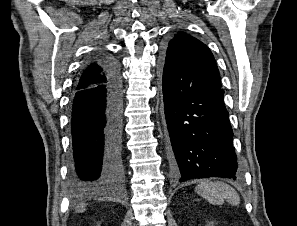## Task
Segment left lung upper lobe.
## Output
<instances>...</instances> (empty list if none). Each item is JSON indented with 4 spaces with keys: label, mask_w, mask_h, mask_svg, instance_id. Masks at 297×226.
<instances>
[{
    "label": "left lung upper lobe",
    "mask_w": 297,
    "mask_h": 226,
    "mask_svg": "<svg viewBox=\"0 0 297 226\" xmlns=\"http://www.w3.org/2000/svg\"><path fill=\"white\" fill-rule=\"evenodd\" d=\"M162 67L195 90L221 86L219 70L209 48L184 32L169 42Z\"/></svg>",
    "instance_id": "left-lung-upper-lobe-1"
}]
</instances>
